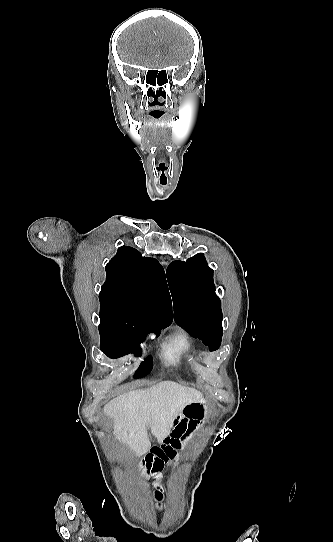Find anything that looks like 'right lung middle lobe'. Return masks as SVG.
<instances>
[{
    "instance_id": "1",
    "label": "right lung middle lobe",
    "mask_w": 333,
    "mask_h": 542,
    "mask_svg": "<svg viewBox=\"0 0 333 542\" xmlns=\"http://www.w3.org/2000/svg\"><path fill=\"white\" fill-rule=\"evenodd\" d=\"M99 317L100 349L113 359L129 353L140 356V343L146 339L147 334L154 332L159 335L161 329L167 327L150 328L145 320L113 313H100ZM151 369L152 359L148 357L140 364L134 378L147 375Z\"/></svg>"
}]
</instances>
